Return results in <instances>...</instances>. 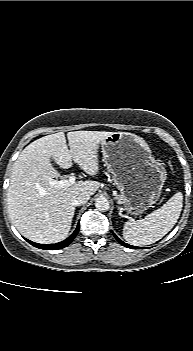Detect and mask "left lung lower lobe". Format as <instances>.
Here are the masks:
<instances>
[{
	"label": "left lung lower lobe",
	"instance_id": "obj_1",
	"mask_svg": "<svg viewBox=\"0 0 193 351\" xmlns=\"http://www.w3.org/2000/svg\"><path fill=\"white\" fill-rule=\"evenodd\" d=\"M114 237L116 238V240L122 244L123 246L127 247V248H139V247H136V246H132V245H129V244H126L124 243L122 240H120L114 233H113Z\"/></svg>",
	"mask_w": 193,
	"mask_h": 351
}]
</instances>
